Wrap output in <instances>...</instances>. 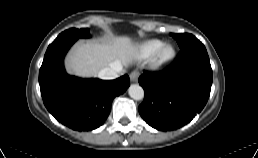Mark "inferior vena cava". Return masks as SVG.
I'll return each instance as SVG.
<instances>
[{"instance_id":"1","label":"inferior vena cava","mask_w":258,"mask_h":158,"mask_svg":"<svg viewBox=\"0 0 258 158\" xmlns=\"http://www.w3.org/2000/svg\"><path fill=\"white\" fill-rule=\"evenodd\" d=\"M122 65L119 63L112 64L98 72V77L104 80L116 79L122 72Z\"/></svg>"}]
</instances>
